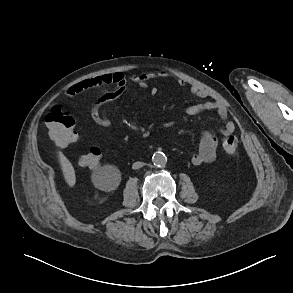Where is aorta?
<instances>
[{"instance_id": "762f6f07", "label": "aorta", "mask_w": 293, "mask_h": 293, "mask_svg": "<svg viewBox=\"0 0 293 293\" xmlns=\"http://www.w3.org/2000/svg\"><path fill=\"white\" fill-rule=\"evenodd\" d=\"M167 158L164 153L156 152L152 156V162L155 166H163L166 164Z\"/></svg>"}]
</instances>
